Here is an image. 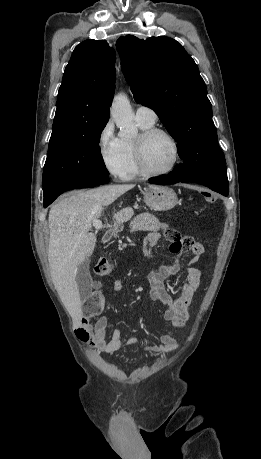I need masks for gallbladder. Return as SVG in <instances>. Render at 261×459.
<instances>
[{
    "mask_svg": "<svg viewBox=\"0 0 261 459\" xmlns=\"http://www.w3.org/2000/svg\"><path fill=\"white\" fill-rule=\"evenodd\" d=\"M76 283L78 286L80 299L84 302L91 293L92 278L89 270V260L85 259L78 267L76 273Z\"/></svg>",
    "mask_w": 261,
    "mask_h": 459,
    "instance_id": "bac80fb5",
    "label": "gallbladder"
}]
</instances>
